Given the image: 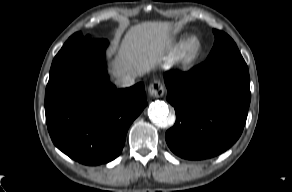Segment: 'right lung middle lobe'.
Here are the masks:
<instances>
[{"label": "right lung middle lobe", "mask_w": 292, "mask_h": 192, "mask_svg": "<svg viewBox=\"0 0 292 192\" xmlns=\"http://www.w3.org/2000/svg\"><path fill=\"white\" fill-rule=\"evenodd\" d=\"M91 39L89 35L83 36L81 32H77L73 34L67 41H74V40H89Z\"/></svg>", "instance_id": "dd1d6c3e"}]
</instances>
